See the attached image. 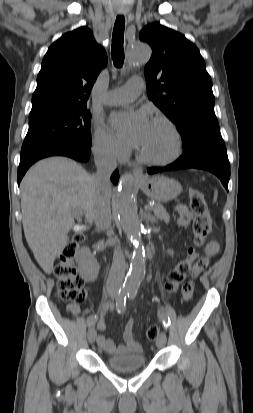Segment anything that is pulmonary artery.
Instances as JSON below:
<instances>
[{"label": "pulmonary artery", "mask_w": 253, "mask_h": 413, "mask_svg": "<svg viewBox=\"0 0 253 413\" xmlns=\"http://www.w3.org/2000/svg\"><path fill=\"white\" fill-rule=\"evenodd\" d=\"M141 90V80L132 79L125 86L109 91L104 97V103L107 105H121L132 102Z\"/></svg>", "instance_id": "e3ab8cb5"}]
</instances>
